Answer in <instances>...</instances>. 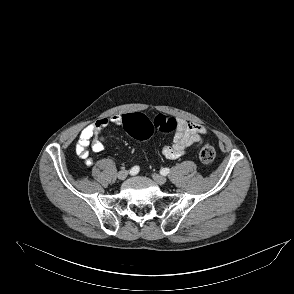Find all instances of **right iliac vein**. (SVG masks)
<instances>
[{
	"label": "right iliac vein",
	"instance_id": "63e3f726",
	"mask_svg": "<svg viewBox=\"0 0 294 294\" xmlns=\"http://www.w3.org/2000/svg\"><path fill=\"white\" fill-rule=\"evenodd\" d=\"M128 175V172L126 170H121L118 172L117 177L119 180H124Z\"/></svg>",
	"mask_w": 294,
	"mask_h": 294
}]
</instances>
